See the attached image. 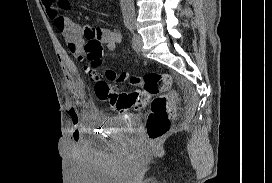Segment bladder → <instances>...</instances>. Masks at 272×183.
<instances>
[{
  "instance_id": "1",
  "label": "bladder",
  "mask_w": 272,
  "mask_h": 183,
  "mask_svg": "<svg viewBox=\"0 0 272 183\" xmlns=\"http://www.w3.org/2000/svg\"><path fill=\"white\" fill-rule=\"evenodd\" d=\"M97 121L106 129L125 133H135L140 126L141 118L137 114L127 113L113 116H103Z\"/></svg>"
}]
</instances>
